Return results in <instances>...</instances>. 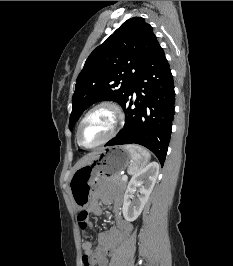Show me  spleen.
Wrapping results in <instances>:
<instances>
[{"mask_svg":"<svg viewBox=\"0 0 233 266\" xmlns=\"http://www.w3.org/2000/svg\"><path fill=\"white\" fill-rule=\"evenodd\" d=\"M124 148L131 155V164L128 173L135 175L149 162L151 155L146 149L138 145H125Z\"/></svg>","mask_w":233,"mask_h":266,"instance_id":"3e777b00","label":"spleen"}]
</instances>
